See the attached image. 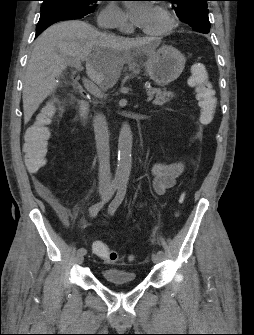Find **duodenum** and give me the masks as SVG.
Returning a JSON list of instances; mask_svg holds the SVG:
<instances>
[{
  "label": "duodenum",
  "instance_id": "duodenum-1",
  "mask_svg": "<svg viewBox=\"0 0 254 335\" xmlns=\"http://www.w3.org/2000/svg\"><path fill=\"white\" fill-rule=\"evenodd\" d=\"M79 117L83 121L87 113V102L81 101L78 108Z\"/></svg>",
  "mask_w": 254,
  "mask_h": 335
}]
</instances>
